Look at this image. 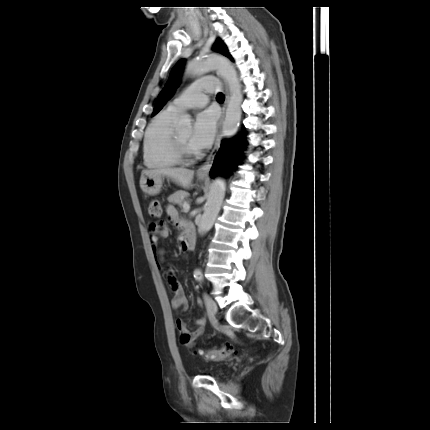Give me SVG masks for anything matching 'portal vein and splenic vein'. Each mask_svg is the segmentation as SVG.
I'll return each instance as SVG.
<instances>
[{
	"instance_id": "portal-vein-and-splenic-vein-1",
	"label": "portal vein and splenic vein",
	"mask_w": 430,
	"mask_h": 430,
	"mask_svg": "<svg viewBox=\"0 0 430 430\" xmlns=\"http://www.w3.org/2000/svg\"><path fill=\"white\" fill-rule=\"evenodd\" d=\"M190 210V204L189 202H184L183 204V211L188 212Z\"/></svg>"
}]
</instances>
